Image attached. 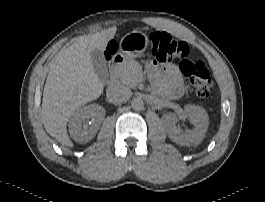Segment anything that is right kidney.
I'll return each instance as SVG.
<instances>
[{
	"label": "right kidney",
	"mask_w": 265,
	"mask_h": 202,
	"mask_svg": "<svg viewBox=\"0 0 265 202\" xmlns=\"http://www.w3.org/2000/svg\"><path fill=\"white\" fill-rule=\"evenodd\" d=\"M104 117L105 110L100 105L91 104L79 107L69 120L70 136L79 143L90 141L99 130Z\"/></svg>",
	"instance_id": "right-kidney-1"
}]
</instances>
